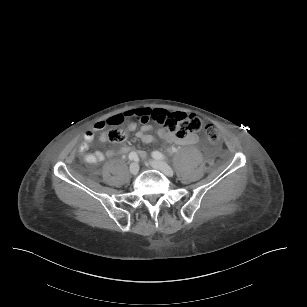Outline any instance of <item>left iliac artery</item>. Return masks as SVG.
Instances as JSON below:
<instances>
[{"label":"left iliac artery","instance_id":"obj_1","mask_svg":"<svg viewBox=\"0 0 307 307\" xmlns=\"http://www.w3.org/2000/svg\"><path fill=\"white\" fill-rule=\"evenodd\" d=\"M174 152H176V151L174 150ZM152 157H153L154 159H158V160H163V159H165V156H164L162 153H160L159 151H154V152L152 153Z\"/></svg>","mask_w":307,"mask_h":307}]
</instances>
